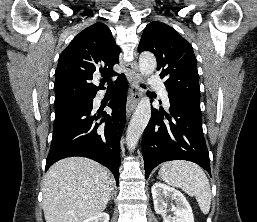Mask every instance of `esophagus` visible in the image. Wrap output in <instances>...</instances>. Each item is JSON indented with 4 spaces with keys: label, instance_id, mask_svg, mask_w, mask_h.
Instances as JSON below:
<instances>
[{
    "label": "esophagus",
    "instance_id": "34e87169",
    "mask_svg": "<svg viewBox=\"0 0 257 222\" xmlns=\"http://www.w3.org/2000/svg\"><path fill=\"white\" fill-rule=\"evenodd\" d=\"M131 67H132V70H131V76H130V93H129V98L126 105L127 118L130 117L131 113L136 108L141 98V90L138 85V83L141 81V75L135 63H133Z\"/></svg>",
    "mask_w": 257,
    "mask_h": 222
}]
</instances>
